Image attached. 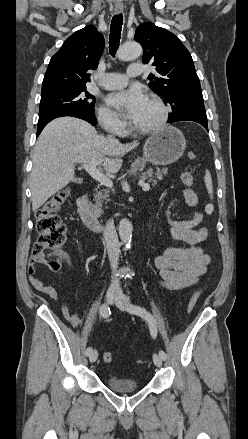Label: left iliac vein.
Masks as SVG:
<instances>
[{"mask_svg": "<svg viewBox=\"0 0 248 439\" xmlns=\"http://www.w3.org/2000/svg\"><path fill=\"white\" fill-rule=\"evenodd\" d=\"M115 303L118 308H120L123 311L129 310L130 301L128 298H126L122 293H118L115 299ZM153 363L156 367H161L163 363V359L159 354H153Z\"/></svg>", "mask_w": 248, "mask_h": 439, "instance_id": "left-iliac-vein-1", "label": "left iliac vein"}]
</instances>
